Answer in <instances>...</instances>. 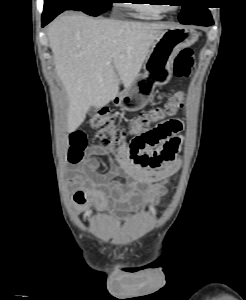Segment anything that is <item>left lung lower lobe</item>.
Instances as JSON below:
<instances>
[{
    "mask_svg": "<svg viewBox=\"0 0 246 300\" xmlns=\"http://www.w3.org/2000/svg\"><path fill=\"white\" fill-rule=\"evenodd\" d=\"M191 24H195V25H200V26H210L213 24V19L212 17H208V18H205V19H202V20H199V21H196V22H193Z\"/></svg>",
    "mask_w": 246,
    "mask_h": 300,
    "instance_id": "1",
    "label": "left lung lower lobe"
}]
</instances>
